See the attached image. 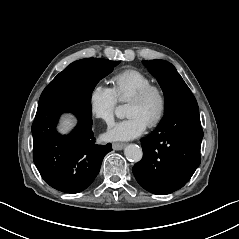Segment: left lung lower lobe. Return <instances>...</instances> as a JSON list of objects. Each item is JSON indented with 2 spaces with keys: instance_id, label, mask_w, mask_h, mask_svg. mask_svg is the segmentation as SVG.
I'll return each instance as SVG.
<instances>
[{
  "instance_id": "1",
  "label": "left lung lower lobe",
  "mask_w": 239,
  "mask_h": 239,
  "mask_svg": "<svg viewBox=\"0 0 239 239\" xmlns=\"http://www.w3.org/2000/svg\"><path fill=\"white\" fill-rule=\"evenodd\" d=\"M202 138L197 102L173 108L140 140L143 158L132 168L137 182L157 195L182 188L200 164Z\"/></svg>"
}]
</instances>
